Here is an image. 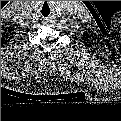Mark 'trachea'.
<instances>
[{
	"label": "trachea",
	"mask_w": 121,
	"mask_h": 121,
	"mask_svg": "<svg viewBox=\"0 0 121 121\" xmlns=\"http://www.w3.org/2000/svg\"><path fill=\"white\" fill-rule=\"evenodd\" d=\"M40 15L43 18H48L51 15V6L46 1L40 7Z\"/></svg>",
	"instance_id": "1"
}]
</instances>
